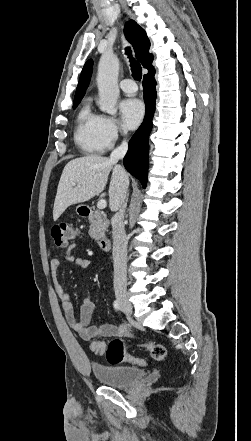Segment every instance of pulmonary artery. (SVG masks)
I'll list each match as a JSON object with an SVG mask.
<instances>
[{"label":"pulmonary artery","mask_w":251,"mask_h":441,"mask_svg":"<svg viewBox=\"0 0 251 441\" xmlns=\"http://www.w3.org/2000/svg\"><path fill=\"white\" fill-rule=\"evenodd\" d=\"M120 88L128 94H135L137 85L132 79H124L120 82Z\"/></svg>","instance_id":"obj_1"}]
</instances>
